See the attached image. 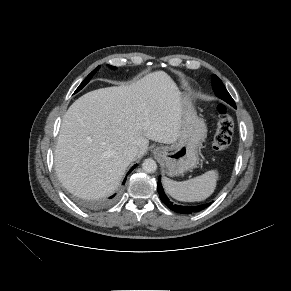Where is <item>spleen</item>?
<instances>
[{"instance_id": "spleen-1", "label": "spleen", "mask_w": 291, "mask_h": 291, "mask_svg": "<svg viewBox=\"0 0 291 291\" xmlns=\"http://www.w3.org/2000/svg\"><path fill=\"white\" fill-rule=\"evenodd\" d=\"M217 178V171L210 170L200 176L183 182L173 181L164 177L163 186L165 191L178 201H202L214 192Z\"/></svg>"}]
</instances>
